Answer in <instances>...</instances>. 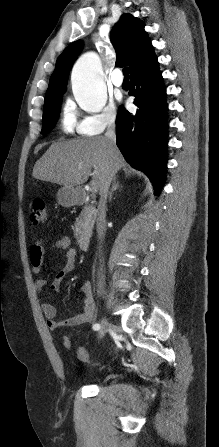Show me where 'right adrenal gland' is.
<instances>
[{
    "label": "right adrenal gland",
    "instance_id": "obj_1",
    "mask_svg": "<svg viewBox=\"0 0 219 447\" xmlns=\"http://www.w3.org/2000/svg\"><path fill=\"white\" fill-rule=\"evenodd\" d=\"M119 187H120V185L117 182V179L114 178L113 184H112V188H111V190L109 192V201H111V199H112L113 192L116 191Z\"/></svg>",
    "mask_w": 219,
    "mask_h": 447
}]
</instances>
